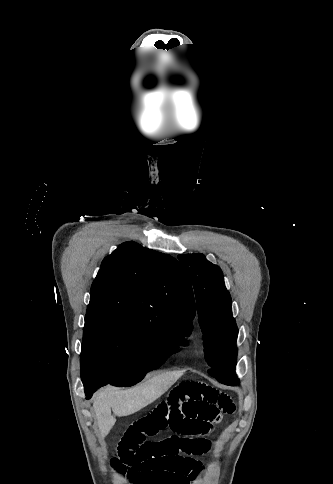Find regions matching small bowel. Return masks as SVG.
Wrapping results in <instances>:
<instances>
[{
    "instance_id": "small-bowel-1",
    "label": "small bowel",
    "mask_w": 333,
    "mask_h": 484,
    "mask_svg": "<svg viewBox=\"0 0 333 484\" xmlns=\"http://www.w3.org/2000/svg\"><path fill=\"white\" fill-rule=\"evenodd\" d=\"M234 410L227 394L202 382L183 381L128 426L112 464L132 484H193L203 471L196 457L211 448L206 435ZM166 430L172 435L158 442L146 441Z\"/></svg>"
}]
</instances>
